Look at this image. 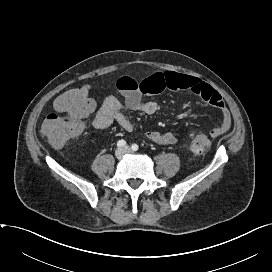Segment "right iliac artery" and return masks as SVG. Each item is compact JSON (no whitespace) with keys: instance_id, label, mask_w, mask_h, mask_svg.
I'll use <instances>...</instances> for the list:
<instances>
[{"instance_id":"right-iliac-artery-1","label":"right iliac artery","mask_w":272,"mask_h":272,"mask_svg":"<svg viewBox=\"0 0 272 272\" xmlns=\"http://www.w3.org/2000/svg\"><path fill=\"white\" fill-rule=\"evenodd\" d=\"M126 145V141L125 140H119L118 142H117V146L118 147H123V146H125Z\"/></svg>"}]
</instances>
